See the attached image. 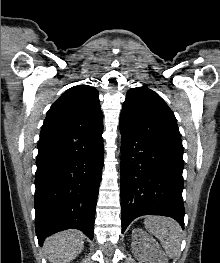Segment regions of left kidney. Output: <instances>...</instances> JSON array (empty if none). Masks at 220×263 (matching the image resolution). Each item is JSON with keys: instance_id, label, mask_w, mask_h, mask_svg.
<instances>
[{"instance_id": "1", "label": "left kidney", "mask_w": 220, "mask_h": 263, "mask_svg": "<svg viewBox=\"0 0 220 263\" xmlns=\"http://www.w3.org/2000/svg\"><path fill=\"white\" fill-rule=\"evenodd\" d=\"M131 246L139 263H168L156 240L140 228L133 229Z\"/></svg>"}]
</instances>
